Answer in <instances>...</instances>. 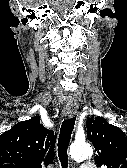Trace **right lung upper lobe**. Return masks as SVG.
<instances>
[{
  "label": "right lung upper lobe",
  "instance_id": "1",
  "mask_svg": "<svg viewBox=\"0 0 127 168\" xmlns=\"http://www.w3.org/2000/svg\"><path fill=\"white\" fill-rule=\"evenodd\" d=\"M55 141L39 117L19 122L0 135V168H42L53 161Z\"/></svg>",
  "mask_w": 127,
  "mask_h": 168
}]
</instances>
